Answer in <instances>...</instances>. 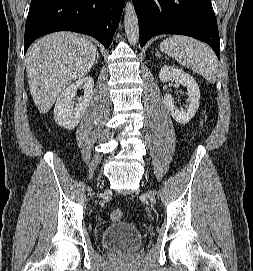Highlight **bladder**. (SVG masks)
Masks as SVG:
<instances>
[{"label":"bladder","mask_w":253,"mask_h":271,"mask_svg":"<svg viewBox=\"0 0 253 271\" xmlns=\"http://www.w3.org/2000/svg\"><path fill=\"white\" fill-rule=\"evenodd\" d=\"M143 242L141 231L130 222H113L100 234L102 247L110 252H132L138 250Z\"/></svg>","instance_id":"1"}]
</instances>
